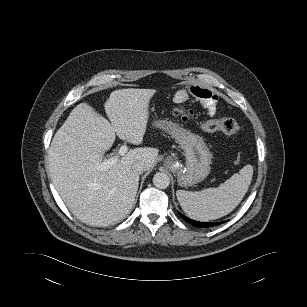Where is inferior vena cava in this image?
Wrapping results in <instances>:
<instances>
[{"mask_svg": "<svg viewBox=\"0 0 307 307\" xmlns=\"http://www.w3.org/2000/svg\"><path fill=\"white\" fill-rule=\"evenodd\" d=\"M132 169L137 174H141L145 171V165L143 163H136L132 166Z\"/></svg>", "mask_w": 307, "mask_h": 307, "instance_id": "602c4592", "label": "inferior vena cava"}]
</instances>
